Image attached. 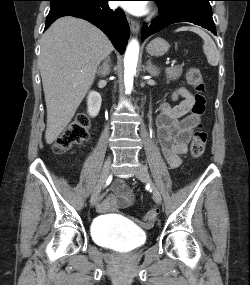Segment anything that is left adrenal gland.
<instances>
[{"label": "left adrenal gland", "instance_id": "a2214340", "mask_svg": "<svg viewBox=\"0 0 250 285\" xmlns=\"http://www.w3.org/2000/svg\"><path fill=\"white\" fill-rule=\"evenodd\" d=\"M146 70L150 75L158 76L159 68L152 64L151 59H148Z\"/></svg>", "mask_w": 250, "mask_h": 285}]
</instances>
